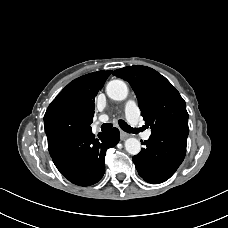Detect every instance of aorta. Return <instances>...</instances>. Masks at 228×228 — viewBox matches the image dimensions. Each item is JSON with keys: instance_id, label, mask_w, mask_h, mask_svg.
Masks as SVG:
<instances>
[{"instance_id": "obj_1", "label": "aorta", "mask_w": 228, "mask_h": 228, "mask_svg": "<svg viewBox=\"0 0 228 228\" xmlns=\"http://www.w3.org/2000/svg\"><path fill=\"white\" fill-rule=\"evenodd\" d=\"M106 93L109 98L122 101L127 98L128 87L121 80H112L106 86ZM126 151L131 155H137L141 151V143L136 138H129L125 141Z\"/></svg>"}]
</instances>
